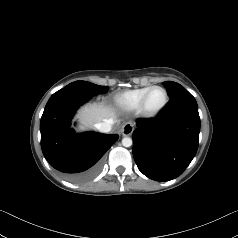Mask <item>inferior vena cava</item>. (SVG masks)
<instances>
[{
  "mask_svg": "<svg viewBox=\"0 0 238 238\" xmlns=\"http://www.w3.org/2000/svg\"><path fill=\"white\" fill-rule=\"evenodd\" d=\"M113 120H106L104 122H100L95 124V128L100 132L107 133L112 129Z\"/></svg>",
  "mask_w": 238,
  "mask_h": 238,
  "instance_id": "602c4592",
  "label": "inferior vena cava"
}]
</instances>
